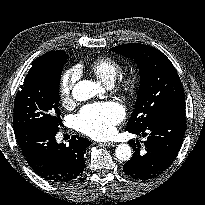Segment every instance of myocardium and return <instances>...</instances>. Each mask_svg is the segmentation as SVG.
I'll return each mask as SVG.
<instances>
[{"label": "myocardium", "instance_id": "myocardium-1", "mask_svg": "<svg viewBox=\"0 0 205 205\" xmlns=\"http://www.w3.org/2000/svg\"><path fill=\"white\" fill-rule=\"evenodd\" d=\"M140 83L139 73L135 69H129L118 77L117 89L124 94L134 93Z\"/></svg>", "mask_w": 205, "mask_h": 205}]
</instances>
